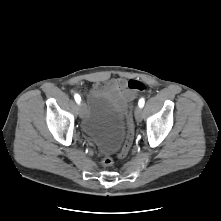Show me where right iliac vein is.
Here are the masks:
<instances>
[{"label": "right iliac vein", "instance_id": "obj_1", "mask_svg": "<svg viewBox=\"0 0 221 221\" xmlns=\"http://www.w3.org/2000/svg\"><path fill=\"white\" fill-rule=\"evenodd\" d=\"M78 112H79V116L81 118H84L86 111H85V106L83 102L80 103V105L78 106Z\"/></svg>", "mask_w": 221, "mask_h": 221}]
</instances>
